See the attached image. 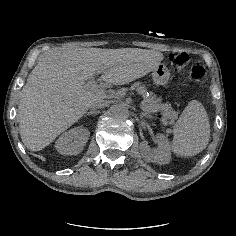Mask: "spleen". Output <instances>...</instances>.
<instances>
[{
    "label": "spleen",
    "instance_id": "1",
    "mask_svg": "<svg viewBox=\"0 0 236 236\" xmlns=\"http://www.w3.org/2000/svg\"><path fill=\"white\" fill-rule=\"evenodd\" d=\"M172 149L183 156H194L202 152L210 138L207 112L197 100H192L183 110L173 129Z\"/></svg>",
    "mask_w": 236,
    "mask_h": 236
}]
</instances>
